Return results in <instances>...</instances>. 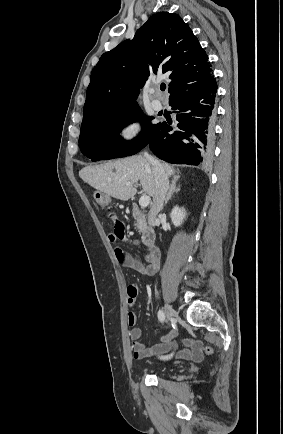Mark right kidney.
I'll return each mask as SVG.
<instances>
[{"mask_svg":"<svg viewBox=\"0 0 283 434\" xmlns=\"http://www.w3.org/2000/svg\"><path fill=\"white\" fill-rule=\"evenodd\" d=\"M170 216H171L172 223L176 227H178V226H180L182 224L183 220L185 219L186 212H185L184 208H179L178 206H175L172 209V212H171Z\"/></svg>","mask_w":283,"mask_h":434,"instance_id":"ca27d5eb","label":"right kidney"}]
</instances>
